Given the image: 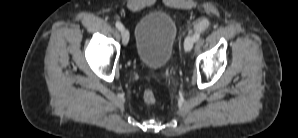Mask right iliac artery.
Masks as SVG:
<instances>
[{
  "label": "right iliac artery",
  "instance_id": "1",
  "mask_svg": "<svg viewBox=\"0 0 298 138\" xmlns=\"http://www.w3.org/2000/svg\"><path fill=\"white\" fill-rule=\"evenodd\" d=\"M116 28H118L119 30H122L123 29V25L121 22H116Z\"/></svg>",
  "mask_w": 298,
  "mask_h": 138
}]
</instances>
